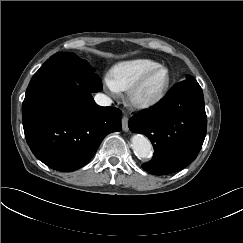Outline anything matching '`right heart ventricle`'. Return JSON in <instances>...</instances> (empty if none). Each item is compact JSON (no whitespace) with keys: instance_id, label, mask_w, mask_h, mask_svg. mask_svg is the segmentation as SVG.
Instances as JSON below:
<instances>
[{"instance_id":"obj_1","label":"right heart ventricle","mask_w":243,"mask_h":243,"mask_svg":"<svg viewBox=\"0 0 243 243\" xmlns=\"http://www.w3.org/2000/svg\"><path fill=\"white\" fill-rule=\"evenodd\" d=\"M158 66V62L144 58L119 62L109 73V83L116 91H126L147 71Z\"/></svg>"}]
</instances>
